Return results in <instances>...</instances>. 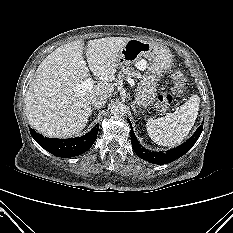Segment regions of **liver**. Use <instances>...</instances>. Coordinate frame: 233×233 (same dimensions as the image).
I'll use <instances>...</instances> for the list:
<instances>
[{"label":"liver","mask_w":233,"mask_h":233,"mask_svg":"<svg viewBox=\"0 0 233 233\" xmlns=\"http://www.w3.org/2000/svg\"><path fill=\"white\" fill-rule=\"evenodd\" d=\"M130 40L128 37H107L87 42L64 44L49 54L38 66L25 98V111L30 125L41 134L67 138L79 134L91 114L95 96L109 98L111 83L117 72V53ZM88 64V66H87ZM90 71L99 80L85 93L74 87L88 79Z\"/></svg>","instance_id":"1"}]
</instances>
